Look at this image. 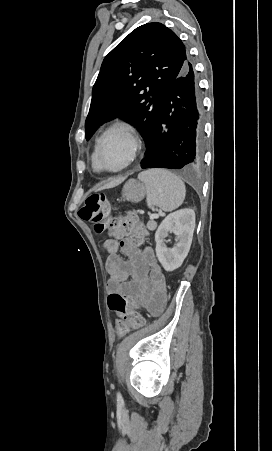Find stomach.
<instances>
[{"instance_id": "obj_1", "label": "stomach", "mask_w": 272, "mask_h": 451, "mask_svg": "<svg viewBox=\"0 0 272 451\" xmlns=\"http://www.w3.org/2000/svg\"><path fill=\"white\" fill-rule=\"evenodd\" d=\"M122 196L127 202H141L146 196V188L137 180H128L122 190Z\"/></svg>"}]
</instances>
